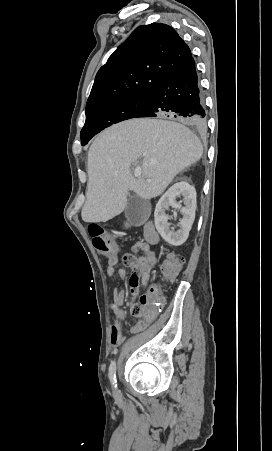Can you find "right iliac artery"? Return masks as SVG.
Segmentation results:
<instances>
[{
  "instance_id": "right-iliac-artery-1",
  "label": "right iliac artery",
  "mask_w": 272,
  "mask_h": 451,
  "mask_svg": "<svg viewBox=\"0 0 272 451\" xmlns=\"http://www.w3.org/2000/svg\"><path fill=\"white\" fill-rule=\"evenodd\" d=\"M109 378H110L112 385L116 388L117 380H116V363H115V361H113L109 367Z\"/></svg>"
}]
</instances>
